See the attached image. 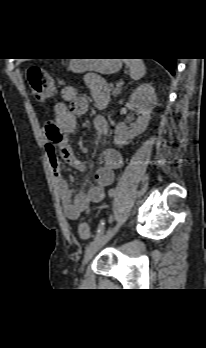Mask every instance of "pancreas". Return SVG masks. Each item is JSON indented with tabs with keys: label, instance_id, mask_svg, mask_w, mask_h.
I'll list each match as a JSON object with an SVG mask.
<instances>
[{
	"label": "pancreas",
	"instance_id": "obj_1",
	"mask_svg": "<svg viewBox=\"0 0 206 348\" xmlns=\"http://www.w3.org/2000/svg\"><path fill=\"white\" fill-rule=\"evenodd\" d=\"M121 91H122V87H112V93L115 97L119 95Z\"/></svg>",
	"mask_w": 206,
	"mask_h": 348
}]
</instances>
